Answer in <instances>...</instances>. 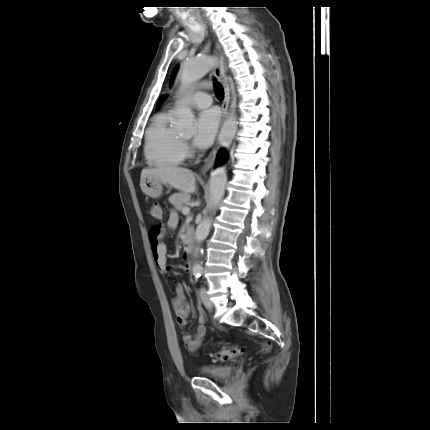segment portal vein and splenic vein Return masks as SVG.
<instances>
[{"mask_svg": "<svg viewBox=\"0 0 430 430\" xmlns=\"http://www.w3.org/2000/svg\"><path fill=\"white\" fill-rule=\"evenodd\" d=\"M182 212H183V214H184V215H188V214H189V212H190V208H189V207H184V208L182 209Z\"/></svg>", "mask_w": 430, "mask_h": 430, "instance_id": "obj_1", "label": "portal vein and splenic vein"}]
</instances>
